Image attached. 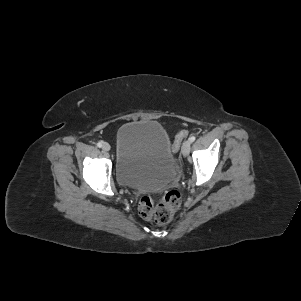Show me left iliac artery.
Masks as SVG:
<instances>
[{"mask_svg":"<svg viewBox=\"0 0 301 301\" xmlns=\"http://www.w3.org/2000/svg\"><path fill=\"white\" fill-rule=\"evenodd\" d=\"M195 139H196V137H195V136H191V137L189 138V141L192 143V142H194V141H195Z\"/></svg>","mask_w":301,"mask_h":301,"instance_id":"left-iliac-artery-1","label":"left iliac artery"}]
</instances>
